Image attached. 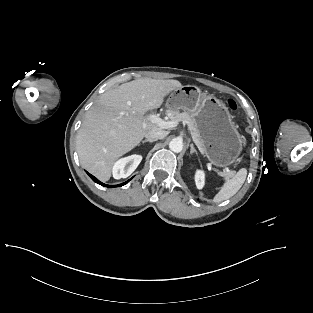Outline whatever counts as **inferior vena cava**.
Returning <instances> with one entry per match:
<instances>
[{"label": "inferior vena cava", "mask_w": 313, "mask_h": 313, "mask_svg": "<svg viewBox=\"0 0 313 313\" xmlns=\"http://www.w3.org/2000/svg\"><path fill=\"white\" fill-rule=\"evenodd\" d=\"M167 135V132L162 129H152L148 133L145 134V137L148 140H158V139H164Z\"/></svg>", "instance_id": "inferior-vena-cava-1"}]
</instances>
